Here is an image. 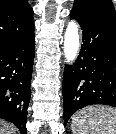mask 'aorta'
I'll use <instances>...</instances> for the list:
<instances>
[{
	"label": "aorta",
	"instance_id": "aorta-1",
	"mask_svg": "<svg viewBox=\"0 0 116 134\" xmlns=\"http://www.w3.org/2000/svg\"><path fill=\"white\" fill-rule=\"evenodd\" d=\"M80 47L78 25L75 21L68 23L64 35V55L68 63H73Z\"/></svg>",
	"mask_w": 116,
	"mask_h": 134
}]
</instances>
